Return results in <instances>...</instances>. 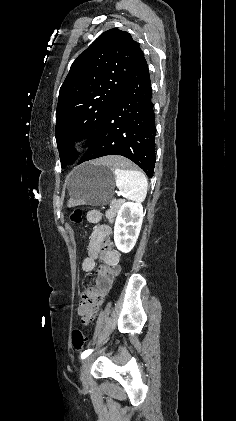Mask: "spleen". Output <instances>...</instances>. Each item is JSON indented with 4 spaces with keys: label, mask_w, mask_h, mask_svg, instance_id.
<instances>
[{
    "label": "spleen",
    "mask_w": 236,
    "mask_h": 421,
    "mask_svg": "<svg viewBox=\"0 0 236 421\" xmlns=\"http://www.w3.org/2000/svg\"><path fill=\"white\" fill-rule=\"evenodd\" d=\"M115 168L116 186L125 198L143 202L147 194V178L141 170H124L122 164H112Z\"/></svg>",
    "instance_id": "3e777b00"
}]
</instances>
